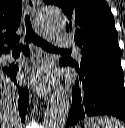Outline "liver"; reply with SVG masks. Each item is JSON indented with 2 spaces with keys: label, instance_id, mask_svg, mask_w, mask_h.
Wrapping results in <instances>:
<instances>
[{
  "label": "liver",
  "instance_id": "1",
  "mask_svg": "<svg viewBox=\"0 0 125 128\" xmlns=\"http://www.w3.org/2000/svg\"><path fill=\"white\" fill-rule=\"evenodd\" d=\"M0 128H20L16 89L3 74H0Z\"/></svg>",
  "mask_w": 125,
  "mask_h": 128
}]
</instances>
